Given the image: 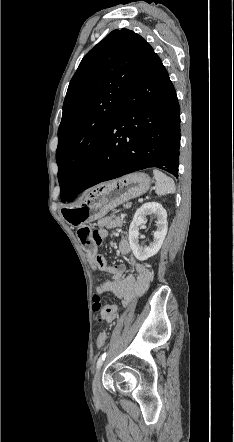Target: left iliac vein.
I'll return each mask as SVG.
<instances>
[{
	"mask_svg": "<svg viewBox=\"0 0 234 442\" xmlns=\"http://www.w3.org/2000/svg\"><path fill=\"white\" fill-rule=\"evenodd\" d=\"M92 388H93V394H94L95 400L97 402L102 401L103 400V390H102V386H101V370L100 369L95 373Z\"/></svg>",
	"mask_w": 234,
	"mask_h": 442,
	"instance_id": "left-iliac-vein-1",
	"label": "left iliac vein"
}]
</instances>
